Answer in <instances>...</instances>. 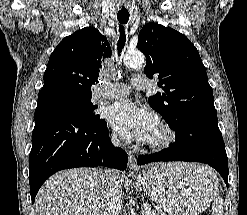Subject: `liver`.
I'll return each mask as SVG.
<instances>
[{
	"instance_id": "6515ba94",
	"label": "liver",
	"mask_w": 247,
	"mask_h": 215,
	"mask_svg": "<svg viewBox=\"0 0 247 215\" xmlns=\"http://www.w3.org/2000/svg\"><path fill=\"white\" fill-rule=\"evenodd\" d=\"M102 174V169L74 168L53 175L36 196V215H105L110 188ZM118 176L122 195L123 176Z\"/></svg>"
}]
</instances>
